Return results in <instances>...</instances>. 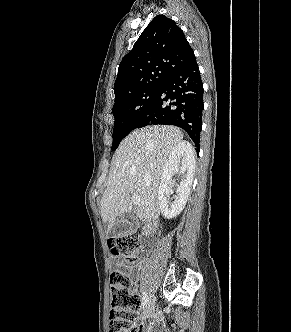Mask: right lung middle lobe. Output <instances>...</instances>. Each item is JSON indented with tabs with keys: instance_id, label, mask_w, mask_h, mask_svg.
I'll list each match as a JSON object with an SVG mask.
<instances>
[{
	"instance_id": "obj_1",
	"label": "right lung middle lobe",
	"mask_w": 291,
	"mask_h": 332,
	"mask_svg": "<svg viewBox=\"0 0 291 332\" xmlns=\"http://www.w3.org/2000/svg\"><path fill=\"white\" fill-rule=\"evenodd\" d=\"M162 83H153L115 100L112 150L116 149L122 139L136 128L139 119L156 97Z\"/></svg>"
}]
</instances>
